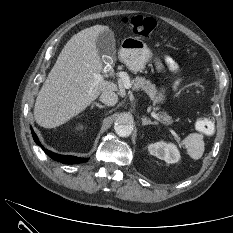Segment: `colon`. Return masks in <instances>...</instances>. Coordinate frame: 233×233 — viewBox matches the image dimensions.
<instances>
[{
  "instance_id": "5ec220e1",
  "label": "colon",
  "mask_w": 233,
  "mask_h": 233,
  "mask_svg": "<svg viewBox=\"0 0 233 233\" xmlns=\"http://www.w3.org/2000/svg\"><path fill=\"white\" fill-rule=\"evenodd\" d=\"M123 23L136 35L148 37L154 34L158 25L155 19L144 16H132L123 18ZM196 129L203 134L211 135L214 133V121L208 114H203L196 120Z\"/></svg>"
}]
</instances>
